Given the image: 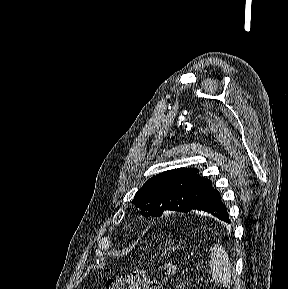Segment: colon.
Listing matches in <instances>:
<instances>
[{
  "label": "colon",
  "mask_w": 288,
  "mask_h": 289,
  "mask_svg": "<svg viewBox=\"0 0 288 289\" xmlns=\"http://www.w3.org/2000/svg\"><path fill=\"white\" fill-rule=\"evenodd\" d=\"M105 289H161V285L159 281L149 278L144 270H135L110 280Z\"/></svg>",
  "instance_id": "colon-1"
}]
</instances>
